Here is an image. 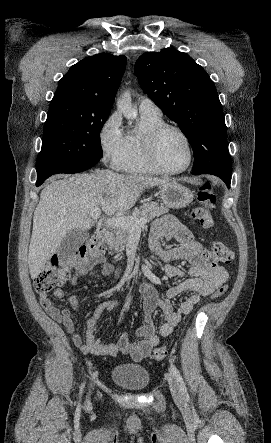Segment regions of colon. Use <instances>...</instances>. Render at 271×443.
<instances>
[{
	"label": "colon",
	"instance_id": "colon-1",
	"mask_svg": "<svg viewBox=\"0 0 271 443\" xmlns=\"http://www.w3.org/2000/svg\"><path fill=\"white\" fill-rule=\"evenodd\" d=\"M198 206L191 213L190 218L193 222L203 228L213 226L212 210L216 204V195L212 184L204 182L196 193ZM106 252L103 243L96 240L89 241L81 245L69 262H64L59 257H53L34 281V288L39 294H47L53 289L61 286L66 280L71 270L79 262L98 263ZM205 257L216 264L230 263L234 258L233 252L222 242L215 241L207 250ZM228 291V285H221L212 295L213 299L222 297ZM167 349L164 347L156 348L152 351L150 357L154 360H162L167 356Z\"/></svg>",
	"mask_w": 271,
	"mask_h": 443
}]
</instances>
